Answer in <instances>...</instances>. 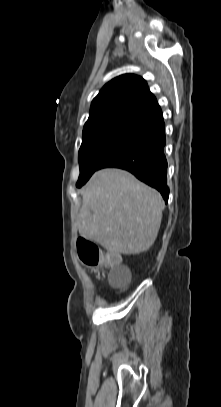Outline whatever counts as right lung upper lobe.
Returning <instances> with one entry per match:
<instances>
[{
	"mask_svg": "<svg viewBox=\"0 0 221 407\" xmlns=\"http://www.w3.org/2000/svg\"><path fill=\"white\" fill-rule=\"evenodd\" d=\"M160 112V106L143 78L121 75L108 82L93 99L83 136L111 126H140Z\"/></svg>",
	"mask_w": 221,
	"mask_h": 407,
	"instance_id": "obj_1",
	"label": "right lung upper lobe"
}]
</instances>
